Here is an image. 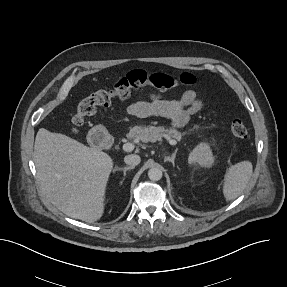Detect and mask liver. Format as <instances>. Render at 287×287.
Returning <instances> with one entry per match:
<instances>
[{
	"label": "liver",
	"mask_w": 287,
	"mask_h": 287,
	"mask_svg": "<svg viewBox=\"0 0 287 287\" xmlns=\"http://www.w3.org/2000/svg\"><path fill=\"white\" fill-rule=\"evenodd\" d=\"M33 159L46 199L67 216L88 223L104 213L113 160L64 134L40 128Z\"/></svg>",
	"instance_id": "1"
}]
</instances>
